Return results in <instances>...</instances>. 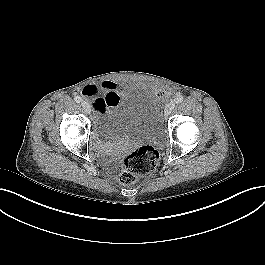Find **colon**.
I'll list each match as a JSON object with an SVG mask.
<instances>
[{
    "mask_svg": "<svg viewBox=\"0 0 265 265\" xmlns=\"http://www.w3.org/2000/svg\"><path fill=\"white\" fill-rule=\"evenodd\" d=\"M158 162L159 152L154 147L141 146L122 159L118 180L122 185L132 184L137 177L152 172Z\"/></svg>",
    "mask_w": 265,
    "mask_h": 265,
    "instance_id": "1",
    "label": "colon"
}]
</instances>
